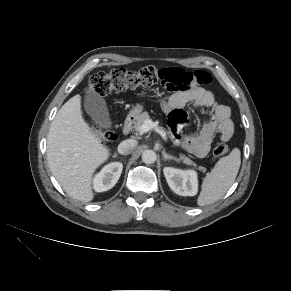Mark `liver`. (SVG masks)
I'll use <instances>...</instances> for the list:
<instances>
[{
  "label": "liver",
  "mask_w": 291,
  "mask_h": 291,
  "mask_svg": "<svg viewBox=\"0 0 291 291\" xmlns=\"http://www.w3.org/2000/svg\"><path fill=\"white\" fill-rule=\"evenodd\" d=\"M109 155L108 147L82 116L81 96H73L57 112L49 129L47 161L52 174L70 197L89 202L94 198L93 174Z\"/></svg>",
  "instance_id": "liver-1"
}]
</instances>
